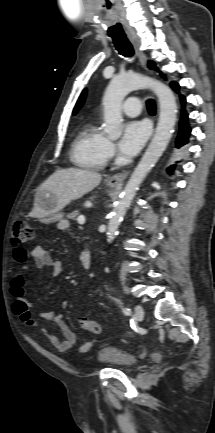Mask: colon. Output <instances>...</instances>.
Listing matches in <instances>:
<instances>
[{
	"instance_id": "1",
	"label": "colon",
	"mask_w": 215,
	"mask_h": 433,
	"mask_svg": "<svg viewBox=\"0 0 215 433\" xmlns=\"http://www.w3.org/2000/svg\"><path fill=\"white\" fill-rule=\"evenodd\" d=\"M11 235H12L11 240L13 245L19 246L32 239L33 230L27 222L18 220L14 222L12 226ZM79 323L83 330L95 334H99L101 332V326L96 321H92L88 319H80Z\"/></svg>"
}]
</instances>
